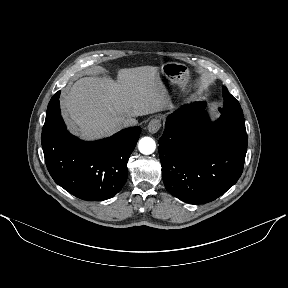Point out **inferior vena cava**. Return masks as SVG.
<instances>
[{
  "label": "inferior vena cava",
  "instance_id": "1",
  "mask_svg": "<svg viewBox=\"0 0 288 288\" xmlns=\"http://www.w3.org/2000/svg\"><path fill=\"white\" fill-rule=\"evenodd\" d=\"M138 123V121L135 118H126L123 122V126L124 127H128V126H134Z\"/></svg>",
  "mask_w": 288,
  "mask_h": 288
}]
</instances>
